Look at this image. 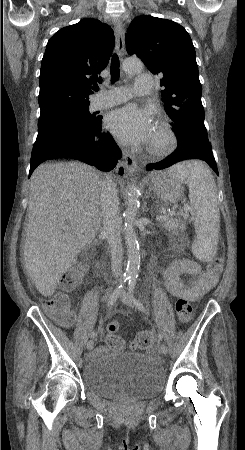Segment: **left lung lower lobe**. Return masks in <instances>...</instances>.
Returning a JSON list of instances; mask_svg holds the SVG:
<instances>
[{
  "label": "left lung lower lobe",
  "instance_id": "1",
  "mask_svg": "<svg viewBox=\"0 0 245 450\" xmlns=\"http://www.w3.org/2000/svg\"><path fill=\"white\" fill-rule=\"evenodd\" d=\"M201 159L206 161L211 168L218 175V169L215 162V158L213 156L210 145L203 147H192L189 149L177 148V151L170 154L168 157L163 159L162 161L147 165V170H161L170 167L176 162L186 160V159Z\"/></svg>",
  "mask_w": 245,
  "mask_h": 450
}]
</instances>
